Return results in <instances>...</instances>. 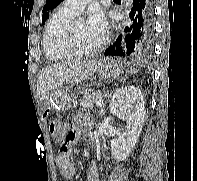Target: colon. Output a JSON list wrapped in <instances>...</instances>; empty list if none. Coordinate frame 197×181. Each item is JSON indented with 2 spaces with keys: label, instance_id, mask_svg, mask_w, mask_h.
I'll return each instance as SVG.
<instances>
[{
  "label": "colon",
  "instance_id": "5ec220e1",
  "mask_svg": "<svg viewBox=\"0 0 197 181\" xmlns=\"http://www.w3.org/2000/svg\"><path fill=\"white\" fill-rule=\"evenodd\" d=\"M49 130L53 135L58 137L61 134V132L63 131V124L60 121H52L50 123ZM67 148H68L67 143L62 142L60 145V149L62 151H66Z\"/></svg>",
  "mask_w": 197,
  "mask_h": 181
}]
</instances>
